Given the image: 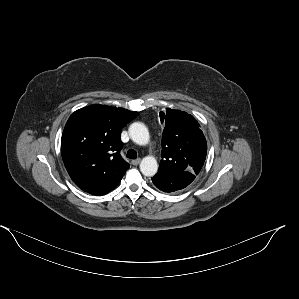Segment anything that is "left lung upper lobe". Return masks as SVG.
<instances>
[{
    "label": "left lung upper lobe",
    "instance_id": "left-lung-upper-lobe-1",
    "mask_svg": "<svg viewBox=\"0 0 299 299\" xmlns=\"http://www.w3.org/2000/svg\"><path fill=\"white\" fill-rule=\"evenodd\" d=\"M165 121L162 135V160L158 172H183L198 175L207 154V142L193 116L180 110L160 113Z\"/></svg>",
    "mask_w": 299,
    "mask_h": 299
}]
</instances>
